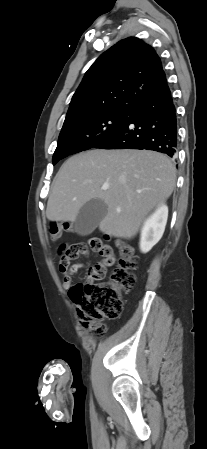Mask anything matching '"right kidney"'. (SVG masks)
Wrapping results in <instances>:
<instances>
[{
	"label": "right kidney",
	"instance_id": "obj_1",
	"mask_svg": "<svg viewBox=\"0 0 207 449\" xmlns=\"http://www.w3.org/2000/svg\"><path fill=\"white\" fill-rule=\"evenodd\" d=\"M168 218V207L161 204L143 224L140 237V250L147 253L161 239Z\"/></svg>",
	"mask_w": 207,
	"mask_h": 449
}]
</instances>
